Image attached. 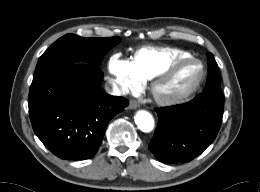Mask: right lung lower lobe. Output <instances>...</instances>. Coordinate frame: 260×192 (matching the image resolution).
Wrapping results in <instances>:
<instances>
[{"label": "right lung lower lobe", "instance_id": "1", "mask_svg": "<svg viewBox=\"0 0 260 192\" xmlns=\"http://www.w3.org/2000/svg\"><path fill=\"white\" fill-rule=\"evenodd\" d=\"M103 72L86 63L63 62L35 75L29 115L35 134L61 159L95 155L109 121L129 102L106 94Z\"/></svg>", "mask_w": 260, "mask_h": 192}]
</instances>
